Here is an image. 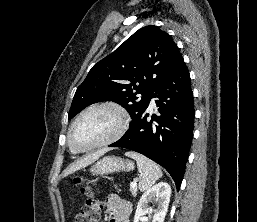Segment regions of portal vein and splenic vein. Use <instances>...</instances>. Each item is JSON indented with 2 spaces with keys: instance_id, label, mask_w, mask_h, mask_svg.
I'll return each mask as SVG.
<instances>
[{
  "instance_id": "18ae733b",
  "label": "portal vein and splenic vein",
  "mask_w": 257,
  "mask_h": 222,
  "mask_svg": "<svg viewBox=\"0 0 257 222\" xmlns=\"http://www.w3.org/2000/svg\"><path fill=\"white\" fill-rule=\"evenodd\" d=\"M130 187H131V188H135V187H137V183H136V181L131 182V183H130Z\"/></svg>"
}]
</instances>
